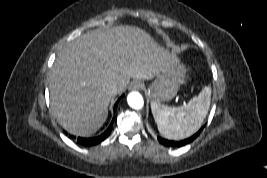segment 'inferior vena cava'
<instances>
[{
	"mask_svg": "<svg viewBox=\"0 0 267 178\" xmlns=\"http://www.w3.org/2000/svg\"><path fill=\"white\" fill-rule=\"evenodd\" d=\"M106 92L110 96H115L118 93V87L116 85H114V84H111V85L107 86Z\"/></svg>",
	"mask_w": 267,
	"mask_h": 178,
	"instance_id": "602c4592",
	"label": "inferior vena cava"
}]
</instances>
